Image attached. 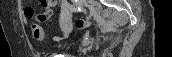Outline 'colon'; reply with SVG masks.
I'll return each instance as SVG.
<instances>
[{
  "instance_id": "5ec220e1",
  "label": "colon",
  "mask_w": 172,
  "mask_h": 57,
  "mask_svg": "<svg viewBox=\"0 0 172 57\" xmlns=\"http://www.w3.org/2000/svg\"><path fill=\"white\" fill-rule=\"evenodd\" d=\"M26 13L31 15L32 14V8L30 6H28L26 9H25ZM90 25V23L87 21V20H84V19H78L75 21V26L78 28V29H83V28H86ZM32 37L36 40L40 39L43 35V31L42 29L39 27L38 24H33L32 26Z\"/></svg>"
}]
</instances>
